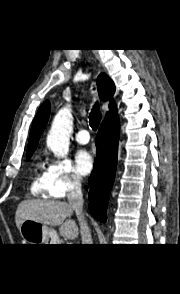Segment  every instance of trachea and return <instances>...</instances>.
<instances>
[{
	"mask_svg": "<svg viewBox=\"0 0 180 294\" xmlns=\"http://www.w3.org/2000/svg\"><path fill=\"white\" fill-rule=\"evenodd\" d=\"M101 121V112L99 108V104L96 103L90 113L89 123L91 128L96 131Z\"/></svg>",
	"mask_w": 180,
	"mask_h": 294,
	"instance_id": "3493384b",
	"label": "trachea"
}]
</instances>
